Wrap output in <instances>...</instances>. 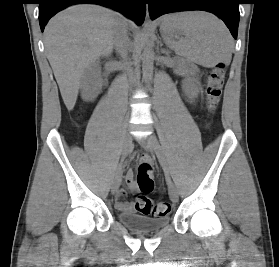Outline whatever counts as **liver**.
I'll return each instance as SVG.
<instances>
[{
    "label": "liver",
    "mask_w": 279,
    "mask_h": 267,
    "mask_svg": "<svg viewBox=\"0 0 279 267\" xmlns=\"http://www.w3.org/2000/svg\"><path fill=\"white\" fill-rule=\"evenodd\" d=\"M119 13L98 5H74L50 19L44 30L47 58L63 101L74 108L86 69L113 50Z\"/></svg>",
    "instance_id": "6515ba94"
}]
</instances>
